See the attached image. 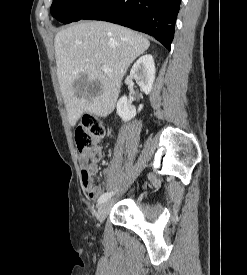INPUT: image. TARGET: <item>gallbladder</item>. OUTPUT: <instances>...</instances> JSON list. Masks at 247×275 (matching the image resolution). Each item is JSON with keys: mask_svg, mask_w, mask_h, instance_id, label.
<instances>
[{"mask_svg": "<svg viewBox=\"0 0 247 275\" xmlns=\"http://www.w3.org/2000/svg\"><path fill=\"white\" fill-rule=\"evenodd\" d=\"M98 84L97 82H93V83H88L86 81V79L83 77L81 79H79L78 81L75 82V88H77V90L79 92H81L82 90L88 88V91L93 93V85Z\"/></svg>", "mask_w": 247, "mask_h": 275, "instance_id": "gallbladder-1", "label": "gallbladder"}]
</instances>
